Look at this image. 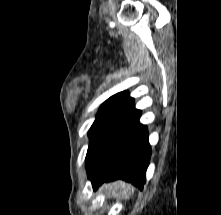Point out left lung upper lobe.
<instances>
[{
	"label": "left lung upper lobe",
	"instance_id": "5c2ea615",
	"mask_svg": "<svg viewBox=\"0 0 221 215\" xmlns=\"http://www.w3.org/2000/svg\"><path fill=\"white\" fill-rule=\"evenodd\" d=\"M133 104L134 99L129 96V93L123 91L111 96L101 105L96 119L88 132L90 143L86 155L87 172L92 168L114 121Z\"/></svg>",
	"mask_w": 221,
	"mask_h": 215
}]
</instances>
